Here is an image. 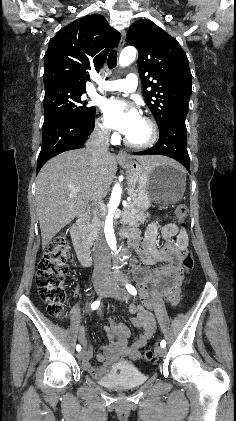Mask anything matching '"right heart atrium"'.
Wrapping results in <instances>:
<instances>
[{"label": "right heart atrium", "instance_id": "1", "mask_svg": "<svg viewBox=\"0 0 236 421\" xmlns=\"http://www.w3.org/2000/svg\"><path fill=\"white\" fill-rule=\"evenodd\" d=\"M95 132L101 138H111L113 135L111 134L110 127L108 121L105 116L99 115L95 120Z\"/></svg>", "mask_w": 236, "mask_h": 421}]
</instances>
